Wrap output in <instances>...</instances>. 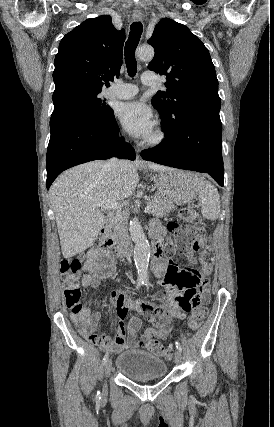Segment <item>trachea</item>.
I'll return each mask as SVG.
<instances>
[{
  "mask_svg": "<svg viewBox=\"0 0 274 427\" xmlns=\"http://www.w3.org/2000/svg\"><path fill=\"white\" fill-rule=\"evenodd\" d=\"M143 32V25L140 21L132 23L130 33L124 47L125 63L127 72L130 77H134L137 73V62L135 58V50L139 43Z\"/></svg>",
  "mask_w": 274,
  "mask_h": 427,
  "instance_id": "trachea-1",
  "label": "trachea"
}]
</instances>
